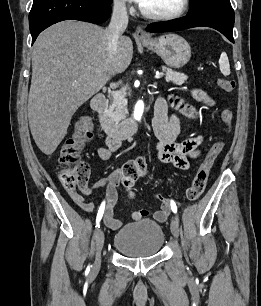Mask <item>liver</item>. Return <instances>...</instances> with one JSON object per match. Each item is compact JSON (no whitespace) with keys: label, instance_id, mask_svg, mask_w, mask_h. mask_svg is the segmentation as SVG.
<instances>
[{"label":"liver","instance_id":"6515ba94","mask_svg":"<svg viewBox=\"0 0 261 306\" xmlns=\"http://www.w3.org/2000/svg\"><path fill=\"white\" fill-rule=\"evenodd\" d=\"M133 57V43L121 36L110 58L106 30L66 20L44 30L32 53L28 119L38 148L51 155L64 139L76 110Z\"/></svg>","mask_w":261,"mask_h":306}]
</instances>
